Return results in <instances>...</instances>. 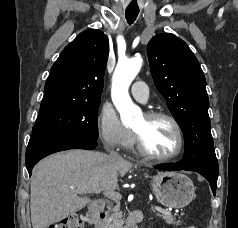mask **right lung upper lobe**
<instances>
[{
    "mask_svg": "<svg viewBox=\"0 0 238 228\" xmlns=\"http://www.w3.org/2000/svg\"><path fill=\"white\" fill-rule=\"evenodd\" d=\"M108 54L109 41L103 32L80 33L52 66L38 116L70 105L100 102Z\"/></svg>",
    "mask_w": 238,
    "mask_h": 228,
    "instance_id": "cb5924a9",
    "label": "right lung upper lobe"
}]
</instances>
